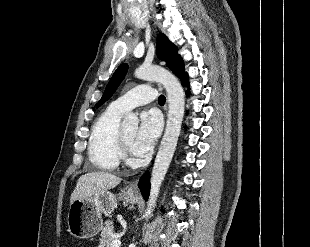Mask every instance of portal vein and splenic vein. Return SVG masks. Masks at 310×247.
<instances>
[{"label":"portal vein and splenic vein","instance_id":"portal-vein-and-splenic-vein-1","mask_svg":"<svg viewBox=\"0 0 310 247\" xmlns=\"http://www.w3.org/2000/svg\"><path fill=\"white\" fill-rule=\"evenodd\" d=\"M121 241L116 237L115 240L112 241V247H120Z\"/></svg>","mask_w":310,"mask_h":247}]
</instances>
